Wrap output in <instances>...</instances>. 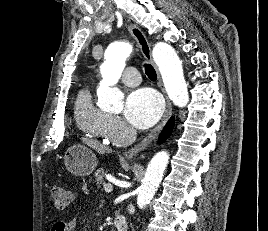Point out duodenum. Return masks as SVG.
I'll return each mask as SVG.
<instances>
[{
  "label": "duodenum",
  "mask_w": 268,
  "mask_h": 231,
  "mask_svg": "<svg viewBox=\"0 0 268 231\" xmlns=\"http://www.w3.org/2000/svg\"><path fill=\"white\" fill-rule=\"evenodd\" d=\"M115 231H127L128 223L127 219L123 214H118L114 219Z\"/></svg>",
  "instance_id": "1"
}]
</instances>
